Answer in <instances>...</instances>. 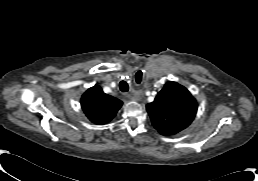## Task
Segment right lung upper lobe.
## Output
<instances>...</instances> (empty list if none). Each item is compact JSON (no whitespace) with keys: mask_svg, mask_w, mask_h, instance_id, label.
Returning a JSON list of instances; mask_svg holds the SVG:
<instances>
[{"mask_svg":"<svg viewBox=\"0 0 258 181\" xmlns=\"http://www.w3.org/2000/svg\"><path fill=\"white\" fill-rule=\"evenodd\" d=\"M121 106L122 101L105 94L99 86L89 88L81 98L83 111L95 124L111 121Z\"/></svg>","mask_w":258,"mask_h":181,"instance_id":"obj_1","label":"right lung upper lobe"}]
</instances>
